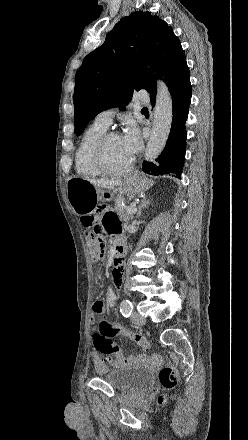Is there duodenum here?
<instances>
[{
	"mask_svg": "<svg viewBox=\"0 0 248 440\" xmlns=\"http://www.w3.org/2000/svg\"><path fill=\"white\" fill-rule=\"evenodd\" d=\"M126 248L123 241L118 240L116 247H115V258L116 257H123L125 254Z\"/></svg>",
	"mask_w": 248,
	"mask_h": 440,
	"instance_id": "1",
	"label": "duodenum"
}]
</instances>
